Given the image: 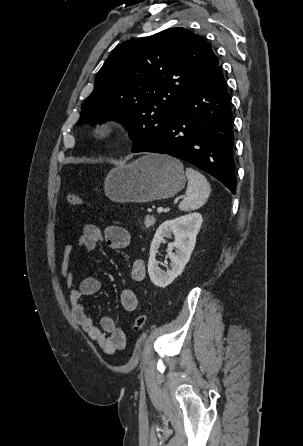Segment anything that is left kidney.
<instances>
[{
	"mask_svg": "<svg viewBox=\"0 0 303 446\" xmlns=\"http://www.w3.org/2000/svg\"><path fill=\"white\" fill-rule=\"evenodd\" d=\"M200 213H191L173 220H166L157 229L150 246L148 273L152 283L165 288L171 284L184 270L196 244V237L202 225ZM174 235V242L168 244V257L171 260V269L167 272L158 267L156 254L164 237ZM176 249V253L172 250Z\"/></svg>",
	"mask_w": 303,
	"mask_h": 446,
	"instance_id": "left-kidney-1",
	"label": "left kidney"
}]
</instances>
